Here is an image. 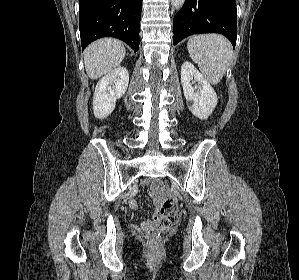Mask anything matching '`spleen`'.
<instances>
[{"label": "spleen", "mask_w": 299, "mask_h": 280, "mask_svg": "<svg viewBox=\"0 0 299 280\" xmlns=\"http://www.w3.org/2000/svg\"><path fill=\"white\" fill-rule=\"evenodd\" d=\"M187 48L206 80L219 83L232 61L231 43L217 34L196 35L189 39Z\"/></svg>", "instance_id": "obj_1"}]
</instances>
